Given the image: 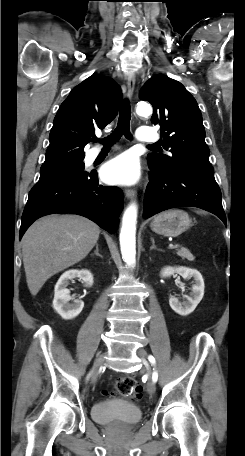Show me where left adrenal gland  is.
Wrapping results in <instances>:
<instances>
[{
  "label": "left adrenal gland",
  "mask_w": 245,
  "mask_h": 456,
  "mask_svg": "<svg viewBox=\"0 0 245 456\" xmlns=\"http://www.w3.org/2000/svg\"><path fill=\"white\" fill-rule=\"evenodd\" d=\"M151 243H152V245H151V247H150V250L155 249V250H158V251H162L161 249H159V248L156 247V245H155V240H154L153 237H151Z\"/></svg>",
  "instance_id": "a2214340"
}]
</instances>
